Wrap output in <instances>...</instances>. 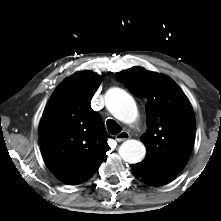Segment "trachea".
<instances>
[{
  "mask_svg": "<svg viewBox=\"0 0 221 221\" xmlns=\"http://www.w3.org/2000/svg\"><path fill=\"white\" fill-rule=\"evenodd\" d=\"M106 123L109 134L116 135L120 133L121 126L115 120L108 119Z\"/></svg>",
  "mask_w": 221,
  "mask_h": 221,
  "instance_id": "obj_1",
  "label": "trachea"
}]
</instances>
